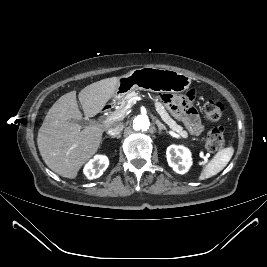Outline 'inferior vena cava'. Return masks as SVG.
<instances>
[{
	"mask_svg": "<svg viewBox=\"0 0 267 267\" xmlns=\"http://www.w3.org/2000/svg\"><path fill=\"white\" fill-rule=\"evenodd\" d=\"M123 128H124V125L122 123H113L108 128L107 133L110 136H116V135H118V134L121 133V131L123 130Z\"/></svg>",
	"mask_w": 267,
	"mask_h": 267,
	"instance_id": "1",
	"label": "inferior vena cava"
}]
</instances>
